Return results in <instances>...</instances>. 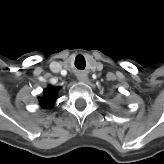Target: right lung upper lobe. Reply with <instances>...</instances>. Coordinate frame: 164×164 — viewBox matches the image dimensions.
Masks as SVG:
<instances>
[{
	"label": "right lung upper lobe",
	"mask_w": 164,
	"mask_h": 164,
	"mask_svg": "<svg viewBox=\"0 0 164 164\" xmlns=\"http://www.w3.org/2000/svg\"><path fill=\"white\" fill-rule=\"evenodd\" d=\"M58 92V88L48 87L44 90V96L39 98L40 104L43 107H48L54 103L56 100V94Z\"/></svg>",
	"instance_id": "obj_1"
}]
</instances>
